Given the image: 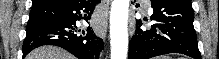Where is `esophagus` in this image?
<instances>
[{
  "label": "esophagus",
  "instance_id": "esophagus-1",
  "mask_svg": "<svg viewBox=\"0 0 219 59\" xmlns=\"http://www.w3.org/2000/svg\"><path fill=\"white\" fill-rule=\"evenodd\" d=\"M108 6H109V0H103L102 8H103L104 12H106V13L108 11ZM96 32L101 38L105 39L106 32H107V23L105 20L103 21V24L100 27V29L96 30Z\"/></svg>",
  "mask_w": 219,
  "mask_h": 59
}]
</instances>
